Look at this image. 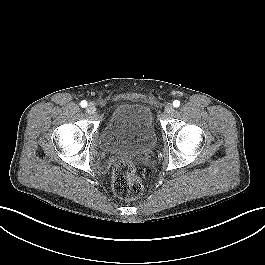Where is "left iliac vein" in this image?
<instances>
[{
  "mask_svg": "<svg viewBox=\"0 0 265 265\" xmlns=\"http://www.w3.org/2000/svg\"><path fill=\"white\" fill-rule=\"evenodd\" d=\"M165 112L167 113V114H171V113H173L174 112V107H173V105L172 104H167L166 105V107H165Z\"/></svg>",
  "mask_w": 265,
  "mask_h": 265,
  "instance_id": "left-iliac-vein-1",
  "label": "left iliac vein"
}]
</instances>
